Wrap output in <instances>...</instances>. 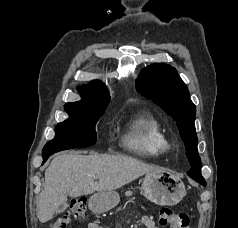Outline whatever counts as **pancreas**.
<instances>
[{
    "mask_svg": "<svg viewBox=\"0 0 238 228\" xmlns=\"http://www.w3.org/2000/svg\"><path fill=\"white\" fill-rule=\"evenodd\" d=\"M132 194H133L132 191H127V192L125 193V195H126L127 197L131 196Z\"/></svg>",
    "mask_w": 238,
    "mask_h": 228,
    "instance_id": "1",
    "label": "pancreas"
}]
</instances>
